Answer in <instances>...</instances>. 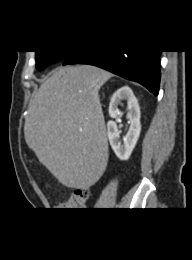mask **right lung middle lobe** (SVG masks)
I'll return each instance as SVG.
<instances>
[{"label": "right lung middle lobe", "instance_id": "right-lung-middle-lobe-1", "mask_svg": "<svg viewBox=\"0 0 192 260\" xmlns=\"http://www.w3.org/2000/svg\"><path fill=\"white\" fill-rule=\"evenodd\" d=\"M36 54V69L41 71L47 66L64 60L69 54V51H35Z\"/></svg>", "mask_w": 192, "mask_h": 260}]
</instances>
